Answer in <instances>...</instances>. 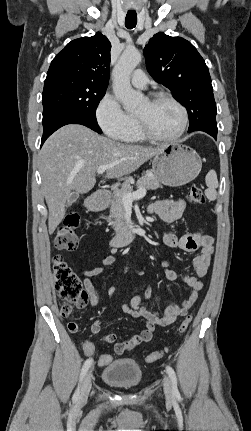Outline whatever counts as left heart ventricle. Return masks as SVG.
Instances as JSON below:
<instances>
[{
	"label": "left heart ventricle",
	"instance_id": "b2bd125f",
	"mask_svg": "<svg viewBox=\"0 0 251 431\" xmlns=\"http://www.w3.org/2000/svg\"><path fill=\"white\" fill-rule=\"evenodd\" d=\"M135 114L143 118L150 129L161 136L176 133L182 121L180 110L168 101H160L155 104L145 101Z\"/></svg>",
	"mask_w": 251,
	"mask_h": 431
}]
</instances>
